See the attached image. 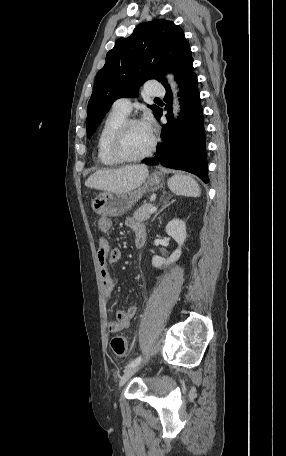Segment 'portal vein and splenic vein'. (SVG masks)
Masks as SVG:
<instances>
[{
    "instance_id": "obj_1",
    "label": "portal vein and splenic vein",
    "mask_w": 286,
    "mask_h": 456,
    "mask_svg": "<svg viewBox=\"0 0 286 456\" xmlns=\"http://www.w3.org/2000/svg\"><path fill=\"white\" fill-rule=\"evenodd\" d=\"M156 210H157V207L153 206V207L150 209V213H154Z\"/></svg>"
}]
</instances>
